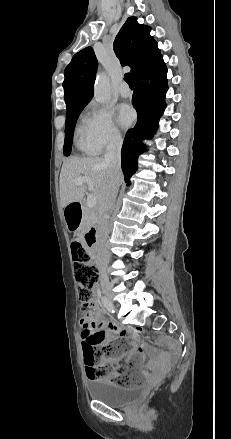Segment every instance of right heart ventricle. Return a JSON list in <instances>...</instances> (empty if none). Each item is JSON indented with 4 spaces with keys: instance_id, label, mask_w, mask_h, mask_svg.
I'll list each match as a JSON object with an SVG mask.
<instances>
[{
    "instance_id": "1",
    "label": "right heart ventricle",
    "mask_w": 231,
    "mask_h": 439,
    "mask_svg": "<svg viewBox=\"0 0 231 439\" xmlns=\"http://www.w3.org/2000/svg\"><path fill=\"white\" fill-rule=\"evenodd\" d=\"M76 146L79 150L87 154H96L95 149L88 143L84 135V125L77 128Z\"/></svg>"
}]
</instances>
